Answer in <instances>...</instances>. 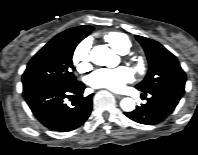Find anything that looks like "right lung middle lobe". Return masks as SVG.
Returning <instances> with one entry per match:
<instances>
[{
  "instance_id": "right-lung-middle-lobe-1",
  "label": "right lung middle lobe",
  "mask_w": 198,
  "mask_h": 155,
  "mask_svg": "<svg viewBox=\"0 0 198 155\" xmlns=\"http://www.w3.org/2000/svg\"><path fill=\"white\" fill-rule=\"evenodd\" d=\"M93 27L86 31L65 36H55L28 63L22 76L23 84L30 82H50L72 86L78 81L71 72L72 56L78 43L90 34Z\"/></svg>"
}]
</instances>
